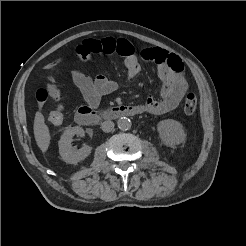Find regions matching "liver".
<instances>
[{"label":"liver","instance_id":"1","mask_svg":"<svg viewBox=\"0 0 246 246\" xmlns=\"http://www.w3.org/2000/svg\"><path fill=\"white\" fill-rule=\"evenodd\" d=\"M33 130L38 147L45 153L50 145L51 136L49 128L45 124L44 116L39 111L35 114Z\"/></svg>","mask_w":246,"mask_h":246}]
</instances>
